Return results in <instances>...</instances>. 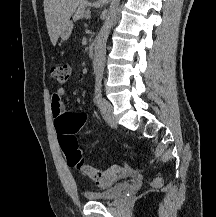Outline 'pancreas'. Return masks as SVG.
Returning a JSON list of instances; mask_svg holds the SVG:
<instances>
[{"instance_id": "cf45deb5", "label": "pancreas", "mask_w": 216, "mask_h": 217, "mask_svg": "<svg viewBox=\"0 0 216 217\" xmlns=\"http://www.w3.org/2000/svg\"><path fill=\"white\" fill-rule=\"evenodd\" d=\"M86 8H87V2L85 1L78 6V9L76 10L73 19L79 20L80 18L85 17L87 11Z\"/></svg>"}]
</instances>
